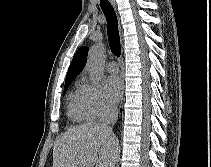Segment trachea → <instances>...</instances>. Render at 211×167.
<instances>
[{"label": "trachea", "mask_w": 211, "mask_h": 167, "mask_svg": "<svg viewBox=\"0 0 211 167\" xmlns=\"http://www.w3.org/2000/svg\"><path fill=\"white\" fill-rule=\"evenodd\" d=\"M100 6L107 20V33L112 53L116 56L121 54L120 36L116 13L108 0H100Z\"/></svg>", "instance_id": "1"}]
</instances>
